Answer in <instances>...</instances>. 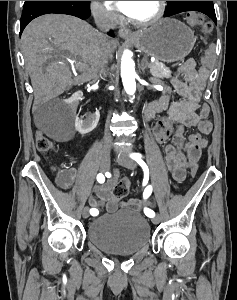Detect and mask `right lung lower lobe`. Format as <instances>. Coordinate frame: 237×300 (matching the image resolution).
Returning <instances> with one entry per match:
<instances>
[{
  "label": "right lung lower lobe",
  "mask_w": 237,
  "mask_h": 300,
  "mask_svg": "<svg viewBox=\"0 0 237 300\" xmlns=\"http://www.w3.org/2000/svg\"><path fill=\"white\" fill-rule=\"evenodd\" d=\"M49 13L68 14L81 19H86L90 16L89 1L54 2L38 6L24 13L22 12V17L20 20V35L31 20L38 16ZM108 34L110 36H114L112 31H110Z\"/></svg>",
  "instance_id": "right-lung-lower-lobe-1"
}]
</instances>
